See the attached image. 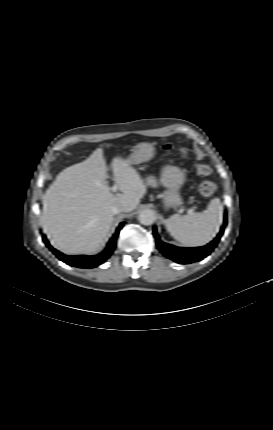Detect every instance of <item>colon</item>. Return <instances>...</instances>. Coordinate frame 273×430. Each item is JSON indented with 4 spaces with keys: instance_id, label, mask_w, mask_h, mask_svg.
<instances>
[{
    "instance_id": "1",
    "label": "colon",
    "mask_w": 273,
    "mask_h": 430,
    "mask_svg": "<svg viewBox=\"0 0 273 430\" xmlns=\"http://www.w3.org/2000/svg\"><path fill=\"white\" fill-rule=\"evenodd\" d=\"M163 148L164 150H170L171 146L165 145ZM195 169L197 174L200 176H208L211 173L210 167L205 164H196ZM198 189L203 196L209 197L214 194L216 185L212 181L205 180L199 184Z\"/></svg>"
}]
</instances>
